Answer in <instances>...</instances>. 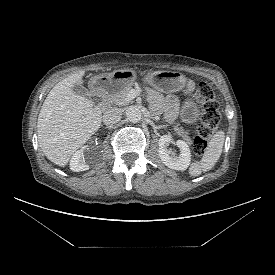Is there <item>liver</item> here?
Instances as JSON below:
<instances>
[{
	"label": "liver",
	"mask_w": 275,
	"mask_h": 275,
	"mask_svg": "<svg viewBox=\"0 0 275 275\" xmlns=\"http://www.w3.org/2000/svg\"><path fill=\"white\" fill-rule=\"evenodd\" d=\"M85 71L57 83L47 95L37 122L39 146L54 164L65 166L71 156L99 129L102 112L93 102L72 91Z\"/></svg>",
	"instance_id": "6515ba94"
}]
</instances>
